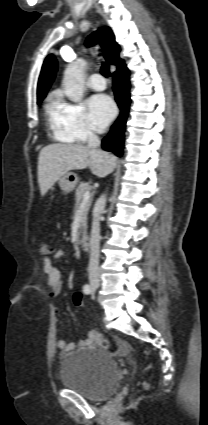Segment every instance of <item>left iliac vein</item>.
<instances>
[{
    "label": "left iliac vein",
    "mask_w": 208,
    "mask_h": 425,
    "mask_svg": "<svg viewBox=\"0 0 208 425\" xmlns=\"http://www.w3.org/2000/svg\"><path fill=\"white\" fill-rule=\"evenodd\" d=\"M98 287V284H96L95 287H92V295H94L96 288Z\"/></svg>",
    "instance_id": "4c4485c4"
}]
</instances>
